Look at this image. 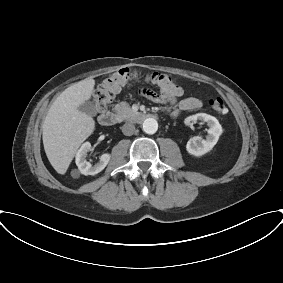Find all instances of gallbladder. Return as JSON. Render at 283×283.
Returning <instances> with one entry per match:
<instances>
[{
    "label": "gallbladder",
    "instance_id": "gallbladder-1",
    "mask_svg": "<svg viewBox=\"0 0 283 283\" xmlns=\"http://www.w3.org/2000/svg\"><path fill=\"white\" fill-rule=\"evenodd\" d=\"M78 109L90 116H94L96 114V107L90 101H86L84 104L80 105Z\"/></svg>",
    "mask_w": 283,
    "mask_h": 283
}]
</instances>
